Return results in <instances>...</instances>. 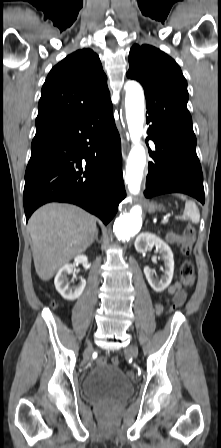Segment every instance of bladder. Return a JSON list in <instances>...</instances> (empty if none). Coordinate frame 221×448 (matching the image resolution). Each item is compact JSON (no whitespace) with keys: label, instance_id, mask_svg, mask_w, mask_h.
<instances>
[{"label":"bladder","instance_id":"bladder-1","mask_svg":"<svg viewBox=\"0 0 221 448\" xmlns=\"http://www.w3.org/2000/svg\"><path fill=\"white\" fill-rule=\"evenodd\" d=\"M82 389L87 398L97 401H123L133 392L130 378L118 367L102 365L88 372Z\"/></svg>","mask_w":221,"mask_h":448}]
</instances>
